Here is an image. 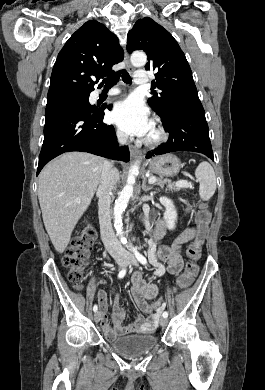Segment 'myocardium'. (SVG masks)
Segmentation results:
<instances>
[{
  "mask_svg": "<svg viewBox=\"0 0 265 390\" xmlns=\"http://www.w3.org/2000/svg\"><path fill=\"white\" fill-rule=\"evenodd\" d=\"M166 138L167 134L165 130L160 125L155 124L145 142L149 146H158L162 144Z\"/></svg>",
  "mask_w": 265,
  "mask_h": 390,
  "instance_id": "obj_1",
  "label": "myocardium"
}]
</instances>
